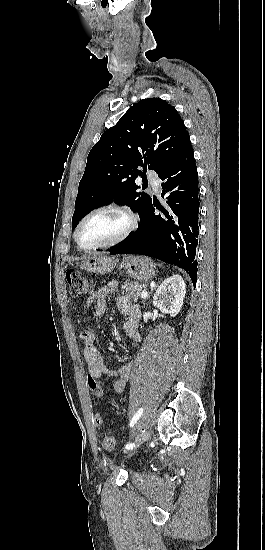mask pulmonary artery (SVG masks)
Listing matches in <instances>:
<instances>
[{
	"label": "pulmonary artery",
	"mask_w": 265,
	"mask_h": 550,
	"mask_svg": "<svg viewBox=\"0 0 265 550\" xmlns=\"http://www.w3.org/2000/svg\"><path fill=\"white\" fill-rule=\"evenodd\" d=\"M148 179L150 180L152 186L154 187L155 191L158 192L160 180L158 178V175L154 171H149L147 174Z\"/></svg>",
	"instance_id": "e3ab8cb5"
}]
</instances>
